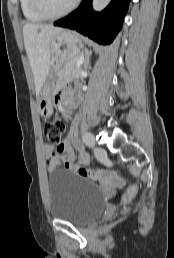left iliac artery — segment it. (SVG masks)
Segmentation results:
<instances>
[{"mask_svg": "<svg viewBox=\"0 0 174 258\" xmlns=\"http://www.w3.org/2000/svg\"><path fill=\"white\" fill-rule=\"evenodd\" d=\"M82 138H83L84 143H85L89 148H91V147L94 146V143H95V141H94V136H93V134H92L91 132H86V133H84Z\"/></svg>", "mask_w": 174, "mask_h": 258, "instance_id": "obj_1", "label": "left iliac artery"}]
</instances>
